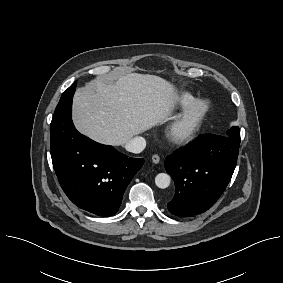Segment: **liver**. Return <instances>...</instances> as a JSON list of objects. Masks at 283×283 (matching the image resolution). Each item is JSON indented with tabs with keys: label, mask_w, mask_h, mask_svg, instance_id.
Wrapping results in <instances>:
<instances>
[{
	"label": "liver",
	"mask_w": 283,
	"mask_h": 283,
	"mask_svg": "<svg viewBox=\"0 0 283 283\" xmlns=\"http://www.w3.org/2000/svg\"><path fill=\"white\" fill-rule=\"evenodd\" d=\"M177 99L175 87L159 76L130 73L115 81L97 79L76 91L73 120L91 139L120 146L168 120Z\"/></svg>",
	"instance_id": "obj_1"
}]
</instances>
